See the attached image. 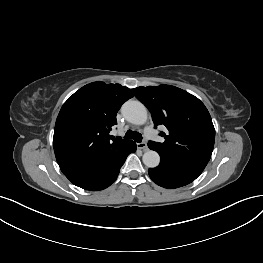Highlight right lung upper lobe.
<instances>
[{
	"label": "right lung upper lobe",
	"instance_id": "right-lung-upper-lobe-1",
	"mask_svg": "<svg viewBox=\"0 0 263 263\" xmlns=\"http://www.w3.org/2000/svg\"><path fill=\"white\" fill-rule=\"evenodd\" d=\"M131 97L130 89L120 84L93 82L63 104L53 147L64 175L96 165L131 142L109 135L118 110Z\"/></svg>",
	"mask_w": 263,
	"mask_h": 263
}]
</instances>
